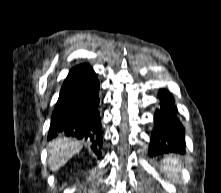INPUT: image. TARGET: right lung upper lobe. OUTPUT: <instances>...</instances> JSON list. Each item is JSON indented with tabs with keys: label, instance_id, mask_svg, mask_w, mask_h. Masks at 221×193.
Returning <instances> with one entry per match:
<instances>
[{
	"label": "right lung upper lobe",
	"instance_id": "cb5924a9",
	"mask_svg": "<svg viewBox=\"0 0 221 193\" xmlns=\"http://www.w3.org/2000/svg\"><path fill=\"white\" fill-rule=\"evenodd\" d=\"M79 66H75L74 68L71 69L70 73L75 70L76 68H78Z\"/></svg>",
	"mask_w": 221,
	"mask_h": 193
}]
</instances>
